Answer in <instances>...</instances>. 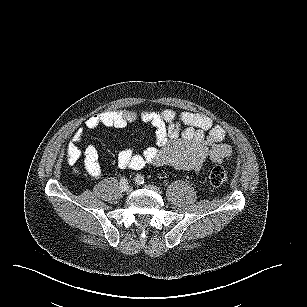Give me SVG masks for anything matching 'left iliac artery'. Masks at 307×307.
Masks as SVG:
<instances>
[{
  "instance_id": "left-iliac-artery-1",
  "label": "left iliac artery",
  "mask_w": 307,
  "mask_h": 307,
  "mask_svg": "<svg viewBox=\"0 0 307 307\" xmlns=\"http://www.w3.org/2000/svg\"><path fill=\"white\" fill-rule=\"evenodd\" d=\"M136 181L139 184H143L144 183V177L142 175H137Z\"/></svg>"
}]
</instances>
